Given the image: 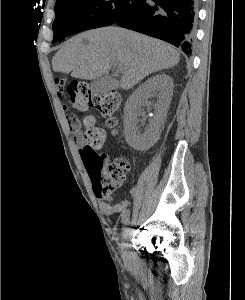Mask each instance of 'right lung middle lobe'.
I'll list each match as a JSON object with an SVG mask.
<instances>
[{
  "label": "right lung middle lobe",
  "instance_id": "1",
  "mask_svg": "<svg viewBox=\"0 0 245 300\" xmlns=\"http://www.w3.org/2000/svg\"><path fill=\"white\" fill-rule=\"evenodd\" d=\"M145 0H58L53 23L54 42L83 30L111 25L126 17ZM64 22L63 27L58 23Z\"/></svg>",
  "mask_w": 245,
  "mask_h": 300
}]
</instances>
